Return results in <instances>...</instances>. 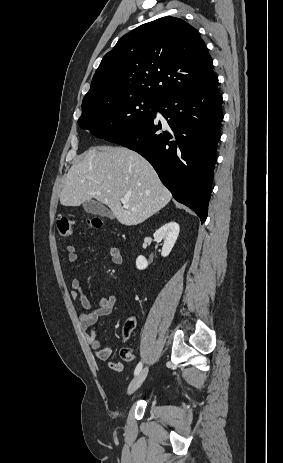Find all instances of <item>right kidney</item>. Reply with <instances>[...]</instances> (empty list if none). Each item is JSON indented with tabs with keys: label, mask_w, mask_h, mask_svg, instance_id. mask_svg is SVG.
I'll list each match as a JSON object with an SVG mask.
<instances>
[{
	"label": "right kidney",
	"mask_w": 283,
	"mask_h": 463,
	"mask_svg": "<svg viewBox=\"0 0 283 463\" xmlns=\"http://www.w3.org/2000/svg\"><path fill=\"white\" fill-rule=\"evenodd\" d=\"M180 231L179 224L172 221L161 228H159L155 233H154V239L157 242H160L164 240L163 247H162V252L161 255L163 257H166L170 254L172 248L174 247V244L178 238ZM148 266V261L146 258L142 255L138 256L136 259V267L139 270H143L147 268Z\"/></svg>",
	"instance_id": "obj_1"
}]
</instances>
